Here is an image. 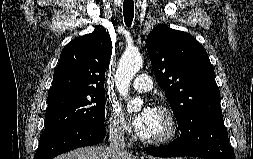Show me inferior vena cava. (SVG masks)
I'll list each match as a JSON object with an SVG mask.
<instances>
[{"label": "inferior vena cava", "mask_w": 253, "mask_h": 159, "mask_svg": "<svg viewBox=\"0 0 253 159\" xmlns=\"http://www.w3.org/2000/svg\"><path fill=\"white\" fill-rule=\"evenodd\" d=\"M109 150L113 153H126V142L122 128H115L110 131Z\"/></svg>", "instance_id": "obj_1"}]
</instances>
